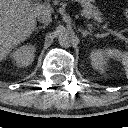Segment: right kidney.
Wrapping results in <instances>:
<instances>
[{
    "instance_id": "ca27d5eb",
    "label": "right kidney",
    "mask_w": 128,
    "mask_h": 128,
    "mask_svg": "<svg viewBox=\"0 0 128 128\" xmlns=\"http://www.w3.org/2000/svg\"><path fill=\"white\" fill-rule=\"evenodd\" d=\"M35 52L36 47L34 45H23L13 51L11 54L12 61L19 67L29 66L34 60Z\"/></svg>"
}]
</instances>
